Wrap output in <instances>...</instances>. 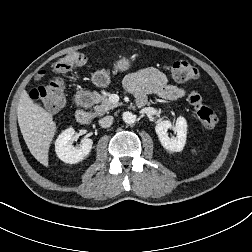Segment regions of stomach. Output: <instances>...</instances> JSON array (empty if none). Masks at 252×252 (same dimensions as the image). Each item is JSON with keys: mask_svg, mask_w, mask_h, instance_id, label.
Segmentation results:
<instances>
[{"mask_svg": "<svg viewBox=\"0 0 252 252\" xmlns=\"http://www.w3.org/2000/svg\"><path fill=\"white\" fill-rule=\"evenodd\" d=\"M134 56L130 58L122 57L115 62V68L120 72L128 71L134 61ZM92 83L97 87H107L110 84V74L102 69L94 72L91 76Z\"/></svg>", "mask_w": 252, "mask_h": 252, "instance_id": "obj_1", "label": "stomach"}]
</instances>
